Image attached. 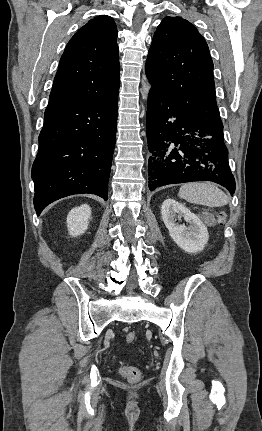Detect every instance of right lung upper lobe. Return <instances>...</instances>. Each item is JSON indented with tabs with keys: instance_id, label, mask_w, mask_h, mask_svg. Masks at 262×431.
Returning <instances> with one entry per match:
<instances>
[{
	"instance_id": "right-lung-upper-lobe-1",
	"label": "right lung upper lobe",
	"mask_w": 262,
	"mask_h": 431,
	"mask_svg": "<svg viewBox=\"0 0 262 431\" xmlns=\"http://www.w3.org/2000/svg\"><path fill=\"white\" fill-rule=\"evenodd\" d=\"M117 28L106 15L90 20L68 42L49 102L101 101L119 91Z\"/></svg>"
}]
</instances>
